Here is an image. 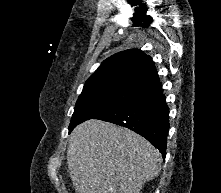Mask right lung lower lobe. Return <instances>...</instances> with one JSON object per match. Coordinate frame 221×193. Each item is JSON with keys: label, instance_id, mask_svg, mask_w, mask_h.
Returning <instances> with one entry per match:
<instances>
[{"label": "right lung lower lobe", "instance_id": "1", "mask_svg": "<svg viewBox=\"0 0 221 193\" xmlns=\"http://www.w3.org/2000/svg\"><path fill=\"white\" fill-rule=\"evenodd\" d=\"M95 119L135 131L156 147L165 159L169 131V109L159 80L144 87L130 101L95 117Z\"/></svg>", "mask_w": 221, "mask_h": 193}]
</instances>
